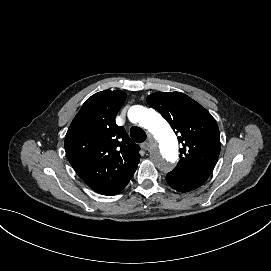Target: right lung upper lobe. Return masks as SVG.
<instances>
[{
	"label": "right lung upper lobe",
	"instance_id": "right-lung-upper-lobe-1",
	"mask_svg": "<svg viewBox=\"0 0 271 271\" xmlns=\"http://www.w3.org/2000/svg\"><path fill=\"white\" fill-rule=\"evenodd\" d=\"M126 99L123 91L92 95L73 119L65 136V151L79 177L95 192L113 195L134 175L140 147L115 117Z\"/></svg>",
	"mask_w": 271,
	"mask_h": 271
}]
</instances>
